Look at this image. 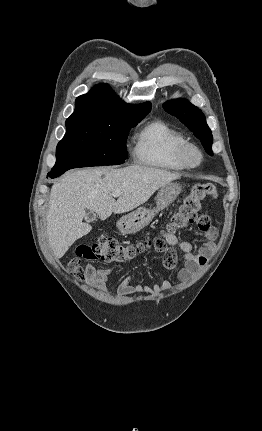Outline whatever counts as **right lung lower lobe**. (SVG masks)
Here are the masks:
<instances>
[{
    "mask_svg": "<svg viewBox=\"0 0 262 431\" xmlns=\"http://www.w3.org/2000/svg\"><path fill=\"white\" fill-rule=\"evenodd\" d=\"M65 171H67V170H63V171H59V172L51 171L48 173V176L50 178H56V177L60 176L61 174H63Z\"/></svg>",
    "mask_w": 262,
    "mask_h": 431,
    "instance_id": "right-lung-lower-lobe-1",
    "label": "right lung lower lobe"
}]
</instances>
